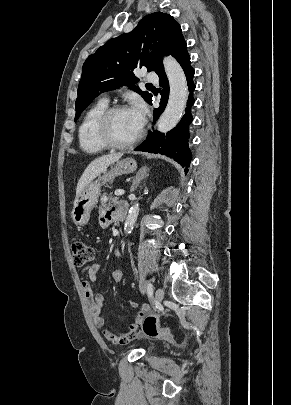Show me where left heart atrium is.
I'll return each instance as SVG.
<instances>
[{"label":"left heart atrium","instance_id":"obj_1","mask_svg":"<svg viewBox=\"0 0 291 405\" xmlns=\"http://www.w3.org/2000/svg\"><path fill=\"white\" fill-rule=\"evenodd\" d=\"M130 112L134 118V121L139 129H141L145 123L146 108L141 101H137L130 108Z\"/></svg>","mask_w":291,"mask_h":405}]
</instances>
